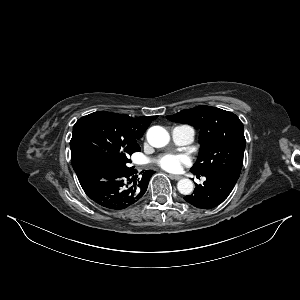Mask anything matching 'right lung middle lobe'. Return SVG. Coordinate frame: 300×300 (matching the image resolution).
Instances as JSON below:
<instances>
[{
  "instance_id": "1",
  "label": "right lung middle lobe",
  "mask_w": 300,
  "mask_h": 300,
  "mask_svg": "<svg viewBox=\"0 0 300 300\" xmlns=\"http://www.w3.org/2000/svg\"><path fill=\"white\" fill-rule=\"evenodd\" d=\"M71 163L76 171L88 163L110 161L129 168V156L140 151L117 135L97 113L80 118L70 141Z\"/></svg>"
}]
</instances>
